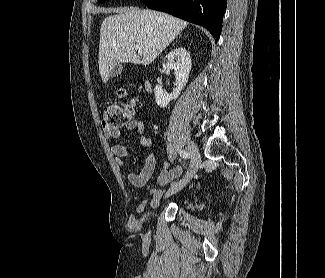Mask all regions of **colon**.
Listing matches in <instances>:
<instances>
[{
  "label": "colon",
  "instance_id": "obj_1",
  "mask_svg": "<svg viewBox=\"0 0 325 278\" xmlns=\"http://www.w3.org/2000/svg\"><path fill=\"white\" fill-rule=\"evenodd\" d=\"M117 96L118 101L107 102L102 106V125L107 131L121 128L132 119L134 114L135 99L123 89L118 90Z\"/></svg>",
  "mask_w": 325,
  "mask_h": 278
}]
</instances>
